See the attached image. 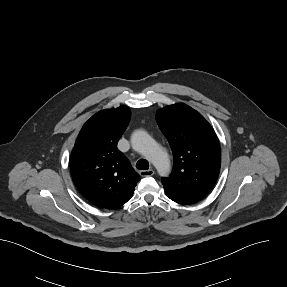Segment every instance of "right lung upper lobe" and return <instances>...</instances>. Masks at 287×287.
<instances>
[{
    "label": "right lung upper lobe",
    "instance_id": "right-lung-upper-lobe-1",
    "mask_svg": "<svg viewBox=\"0 0 287 287\" xmlns=\"http://www.w3.org/2000/svg\"><path fill=\"white\" fill-rule=\"evenodd\" d=\"M130 118L127 106L102 110L82 127L70 157L76 188L100 208L116 209L133 195L139 175L117 149Z\"/></svg>",
    "mask_w": 287,
    "mask_h": 287
}]
</instances>
